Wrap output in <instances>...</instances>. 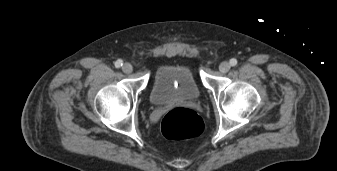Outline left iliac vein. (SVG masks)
<instances>
[{
    "mask_svg": "<svg viewBox=\"0 0 337 171\" xmlns=\"http://www.w3.org/2000/svg\"><path fill=\"white\" fill-rule=\"evenodd\" d=\"M230 69V64L228 62H222L220 65H219V70L220 72L222 73H226L228 72Z\"/></svg>",
    "mask_w": 337,
    "mask_h": 171,
    "instance_id": "4c4485c4",
    "label": "left iliac vein"
}]
</instances>
